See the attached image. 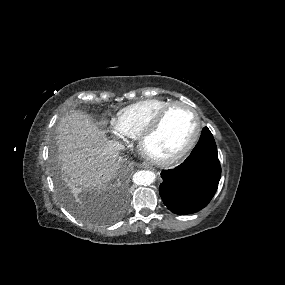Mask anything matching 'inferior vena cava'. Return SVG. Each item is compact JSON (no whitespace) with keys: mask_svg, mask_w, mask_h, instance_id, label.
<instances>
[{"mask_svg":"<svg viewBox=\"0 0 285 285\" xmlns=\"http://www.w3.org/2000/svg\"><path fill=\"white\" fill-rule=\"evenodd\" d=\"M106 146L109 151V156L113 160H117L118 153L125 149V146L121 142L115 140L108 141Z\"/></svg>","mask_w":285,"mask_h":285,"instance_id":"1","label":"inferior vena cava"}]
</instances>
